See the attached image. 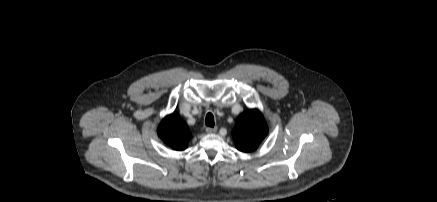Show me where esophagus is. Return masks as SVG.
I'll list each match as a JSON object with an SVG mask.
<instances>
[{"label": "esophagus", "instance_id": "esophagus-1", "mask_svg": "<svg viewBox=\"0 0 437 202\" xmlns=\"http://www.w3.org/2000/svg\"><path fill=\"white\" fill-rule=\"evenodd\" d=\"M206 132L207 133H216L217 132V127H207L206 128Z\"/></svg>", "mask_w": 437, "mask_h": 202}]
</instances>
